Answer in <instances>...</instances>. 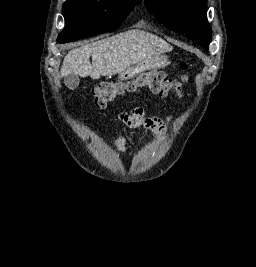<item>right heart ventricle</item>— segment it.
<instances>
[{
	"instance_id": "e07e8e85",
	"label": "right heart ventricle",
	"mask_w": 256,
	"mask_h": 267,
	"mask_svg": "<svg viewBox=\"0 0 256 267\" xmlns=\"http://www.w3.org/2000/svg\"><path fill=\"white\" fill-rule=\"evenodd\" d=\"M133 28H145V27H133Z\"/></svg>"
}]
</instances>
